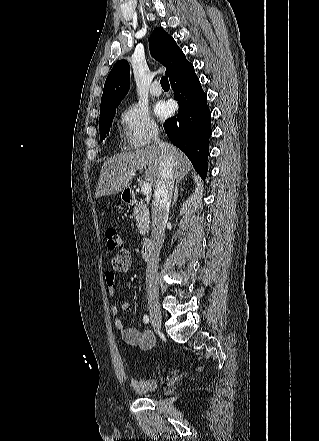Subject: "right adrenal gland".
I'll list each match as a JSON object with an SVG mask.
<instances>
[{"instance_id": "1", "label": "right adrenal gland", "mask_w": 319, "mask_h": 441, "mask_svg": "<svg viewBox=\"0 0 319 441\" xmlns=\"http://www.w3.org/2000/svg\"><path fill=\"white\" fill-rule=\"evenodd\" d=\"M178 184H179V181H177L176 186H175V189H174V195H173V200H172V206H174L175 202L177 201L178 195H179Z\"/></svg>"}]
</instances>
